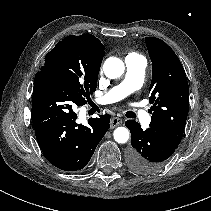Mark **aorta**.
<instances>
[{
	"instance_id": "1",
	"label": "aorta",
	"mask_w": 211,
	"mask_h": 211,
	"mask_svg": "<svg viewBox=\"0 0 211 211\" xmlns=\"http://www.w3.org/2000/svg\"><path fill=\"white\" fill-rule=\"evenodd\" d=\"M105 75L110 79L120 77L125 70L124 63L121 59L116 57H109L103 65ZM129 130L126 127H118L114 130L113 136L116 142L126 143L129 139Z\"/></svg>"
}]
</instances>
